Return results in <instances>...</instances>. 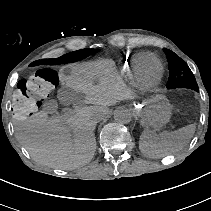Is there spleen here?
I'll return each mask as SVG.
<instances>
[{
    "mask_svg": "<svg viewBox=\"0 0 211 211\" xmlns=\"http://www.w3.org/2000/svg\"><path fill=\"white\" fill-rule=\"evenodd\" d=\"M194 131V125H189L172 132L161 133L144 129L139 137V149L150 158L165 157L188 144Z\"/></svg>",
    "mask_w": 211,
    "mask_h": 211,
    "instance_id": "3e777b00",
    "label": "spleen"
}]
</instances>
